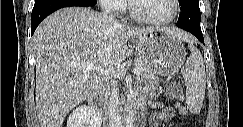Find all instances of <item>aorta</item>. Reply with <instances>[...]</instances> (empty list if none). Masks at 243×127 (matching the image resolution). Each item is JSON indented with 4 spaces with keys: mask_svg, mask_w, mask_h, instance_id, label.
Masks as SVG:
<instances>
[{
    "mask_svg": "<svg viewBox=\"0 0 243 127\" xmlns=\"http://www.w3.org/2000/svg\"><path fill=\"white\" fill-rule=\"evenodd\" d=\"M125 126L126 127H134V113L130 108L127 109Z\"/></svg>",
    "mask_w": 243,
    "mask_h": 127,
    "instance_id": "aorta-1",
    "label": "aorta"
}]
</instances>
